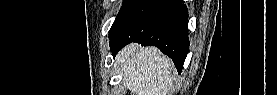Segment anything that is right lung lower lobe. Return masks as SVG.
I'll use <instances>...</instances> for the list:
<instances>
[{
    "label": "right lung lower lobe",
    "mask_w": 277,
    "mask_h": 95,
    "mask_svg": "<svg viewBox=\"0 0 277 95\" xmlns=\"http://www.w3.org/2000/svg\"><path fill=\"white\" fill-rule=\"evenodd\" d=\"M187 21L181 0H147L109 36L112 54L130 42L156 46L180 73L189 51Z\"/></svg>",
    "instance_id": "obj_1"
}]
</instances>
